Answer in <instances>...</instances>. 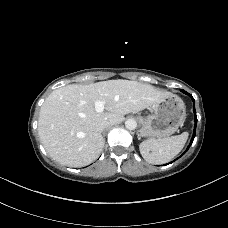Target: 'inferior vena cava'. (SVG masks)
<instances>
[{
  "instance_id": "obj_1",
  "label": "inferior vena cava",
  "mask_w": 228,
  "mask_h": 228,
  "mask_svg": "<svg viewBox=\"0 0 228 228\" xmlns=\"http://www.w3.org/2000/svg\"><path fill=\"white\" fill-rule=\"evenodd\" d=\"M110 125V123L108 121H103V122H99L96 125V129L100 132H102L105 128H107Z\"/></svg>"
}]
</instances>
